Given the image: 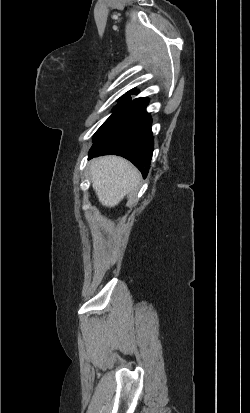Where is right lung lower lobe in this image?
Returning <instances> with one entry per match:
<instances>
[{
  "instance_id": "98d812e1",
  "label": "right lung lower lobe",
  "mask_w": 250,
  "mask_h": 413,
  "mask_svg": "<svg viewBox=\"0 0 250 413\" xmlns=\"http://www.w3.org/2000/svg\"><path fill=\"white\" fill-rule=\"evenodd\" d=\"M147 98L131 102L118 124L96 140L89 151V159L115 154L130 160L147 176L153 152L152 119L145 108Z\"/></svg>"
}]
</instances>
